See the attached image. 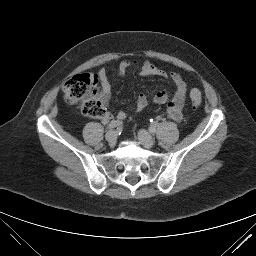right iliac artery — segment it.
Returning a JSON list of instances; mask_svg holds the SVG:
<instances>
[{"label":"right iliac artery","instance_id":"1","mask_svg":"<svg viewBox=\"0 0 256 256\" xmlns=\"http://www.w3.org/2000/svg\"><path fill=\"white\" fill-rule=\"evenodd\" d=\"M121 126H122V122L119 121V120H116V121L110 122V123L107 125L106 129H107V130H111V129H113V128L121 127Z\"/></svg>","mask_w":256,"mask_h":256}]
</instances>
